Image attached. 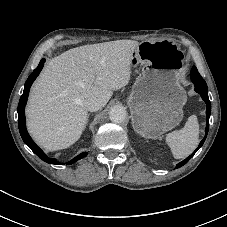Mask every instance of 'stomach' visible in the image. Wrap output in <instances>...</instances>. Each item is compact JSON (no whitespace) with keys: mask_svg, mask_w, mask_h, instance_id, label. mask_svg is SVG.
I'll return each instance as SVG.
<instances>
[{"mask_svg":"<svg viewBox=\"0 0 227 227\" xmlns=\"http://www.w3.org/2000/svg\"><path fill=\"white\" fill-rule=\"evenodd\" d=\"M184 53L163 41H144L133 52L132 65H141L128 97L132 126L141 136L158 138L183 118L186 94L180 85Z\"/></svg>","mask_w":227,"mask_h":227,"instance_id":"obj_1","label":"stomach"}]
</instances>
